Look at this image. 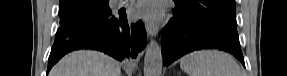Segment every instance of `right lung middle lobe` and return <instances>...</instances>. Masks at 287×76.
Instances as JSON below:
<instances>
[{
	"label": "right lung middle lobe",
	"instance_id": "1",
	"mask_svg": "<svg viewBox=\"0 0 287 76\" xmlns=\"http://www.w3.org/2000/svg\"><path fill=\"white\" fill-rule=\"evenodd\" d=\"M108 7V0H60V26L79 18L96 15Z\"/></svg>",
	"mask_w": 287,
	"mask_h": 76
}]
</instances>
